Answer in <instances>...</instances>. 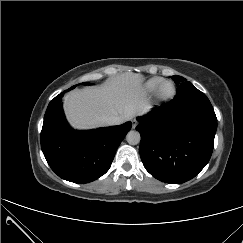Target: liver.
<instances>
[{"label":"liver","instance_id":"liver-1","mask_svg":"<svg viewBox=\"0 0 243 243\" xmlns=\"http://www.w3.org/2000/svg\"><path fill=\"white\" fill-rule=\"evenodd\" d=\"M144 77L123 73L96 87H86L65 96L64 110L72 126L79 129L106 125V118L119 116L123 122L150 108L143 89Z\"/></svg>","mask_w":243,"mask_h":243}]
</instances>
